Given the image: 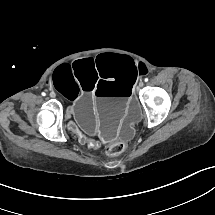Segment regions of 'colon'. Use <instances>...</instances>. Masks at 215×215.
<instances>
[{
    "label": "colon",
    "instance_id": "5ec220e1",
    "mask_svg": "<svg viewBox=\"0 0 215 215\" xmlns=\"http://www.w3.org/2000/svg\"><path fill=\"white\" fill-rule=\"evenodd\" d=\"M125 148L123 143H115L106 147L105 153L109 156L121 153Z\"/></svg>",
    "mask_w": 215,
    "mask_h": 215
}]
</instances>
